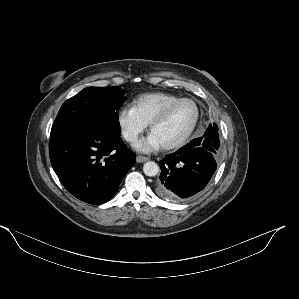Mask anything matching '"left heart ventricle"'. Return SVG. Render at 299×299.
I'll return each instance as SVG.
<instances>
[{
    "label": "left heart ventricle",
    "mask_w": 299,
    "mask_h": 299,
    "mask_svg": "<svg viewBox=\"0 0 299 299\" xmlns=\"http://www.w3.org/2000/svg\"><path fill=\"white\" fill-rule=\"evenodd\" d=\"M195 107L191 102H182L175 107L168 117L158 124L151 132L161 146L179 139L192 125L195 117Z\"/></svg>",
    "instance_id": "left-heart-ventricle-1"
}]
</instances>
